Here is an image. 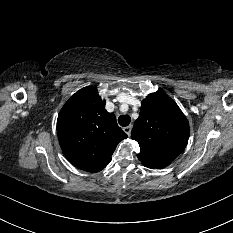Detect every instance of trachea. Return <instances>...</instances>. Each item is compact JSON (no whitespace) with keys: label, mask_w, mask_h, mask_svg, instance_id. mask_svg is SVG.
<instances>
[{"label":"trachea","mask_w":233,"mask_h":233,"mask_svg":"<svg viewBox=\"0 0 233 233\" xmlns=\"http://www.w3.org/2000/svg\"><path fill=\"white\" fill-rule=\"evenodd\" d=\"M131 122V117L129 115H121L118 118V123L122 126V127H126L130 124Z\"/></svg>","instance_id":"1"}]
</instances>
